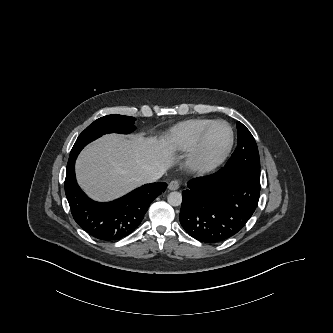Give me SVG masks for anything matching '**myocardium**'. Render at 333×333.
I'll return each instance as SVG.
<instances>
[{
    "instance_id": "obj_1",
    "label": "myocardium",
    "mask_w": 333,
    "mask_h": 333,
    "mask_svg": "<svg viewBox=\"0 0 333 333\" xmlns=\"http://www.w3.org/2000/svg\"><path fill=\"white\" fill-rule=\"evenodd\" d=\"M222 124L228 129V140L223 150L215 157L208 158L205 156V148L214 126ZM234 144V132L230 124L225 120L213 121L202 133L196 145L188 155V164L195 170L207 173L217 169L229 156Z\"/></svg>"
}]
</instances>
